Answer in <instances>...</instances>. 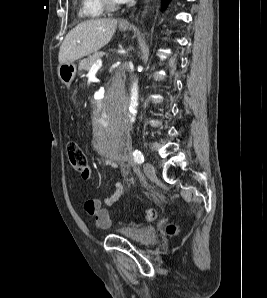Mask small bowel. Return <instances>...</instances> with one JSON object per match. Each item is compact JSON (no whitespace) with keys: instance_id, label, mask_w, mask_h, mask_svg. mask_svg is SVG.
Listing matches in <instances>:
<instances>
[{"instance_id":"c3829d8e","label":"small bowel","mask_w":267,"mask_h":298,"mask_svg":"<svg viewBox=\"0 0 267 298\" xmlns=\"http://www.w3.org/2000/svg\"><path fill=\"white\" fill-rule=\"evenodd\" d=\"M111 167L117 168L115 163L110 164ZM91 169L88 167L86 175L82 177L84 179H89L91 176ZM124 195V183L122 181H117L115 184L114 192L105 198L102 202L98 198H91L85 201L83 204V210L89 217L92 218L93 223L102 229H108L112 226V218L108 209L105 206H113L122 196Z\"/></svg>"}]
</instances>
